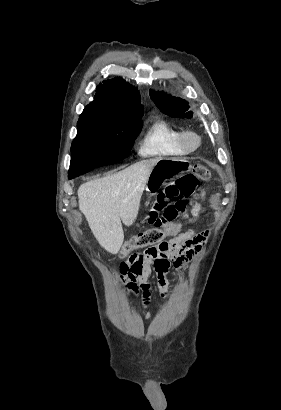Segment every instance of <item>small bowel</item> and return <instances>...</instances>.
Instances as JSON below:
<instances>
[{
    "mask_svg": "<svg viewBox=\"0 0 281 410\" xmlns=\"http://www.w3.org/2000/svg\"><path fill=\"white\" fill-rule=\"evenodd\" d=\"M205 191H201L200 198L191 210V216L172 228L169 232L171 239L148 248L143 254H132L119 265V282L125 286L127 293L139 295L144 307L150 303L151 285L149 277L152 270L156 273V285L162 297L168 295L167 274L173 268L180 271L201 250L208 232L182 231L183 227L194 223L201 210ZM150 317L149 312H145Z\"/></svg>",
    "mask_w": 281,
    "mask_h": 410,
    "instance_id": "1",
    "label": "small bowel"
}]
</instances>
